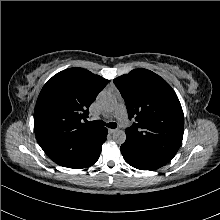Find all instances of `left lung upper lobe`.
I'll use <instances>...</instances> for the list:
<instances>
[{"label": "left lung upper lobe", "instance_id": "obj_1", "mask_svg": "<svg viewBox=\"0 0 220 220\" xmlns=\"http://www.w3.org/2000/svg\"><path fill=\"white\" fill-rule=\"evenodd\" d=\"M136 123L126 129V138L173 158L183 139L184 115L170 85L147 69H135L114 79Z\"/></svg>", "mask_w": 220, "mask_h": 220}]
</instances>
